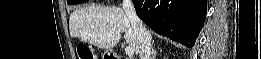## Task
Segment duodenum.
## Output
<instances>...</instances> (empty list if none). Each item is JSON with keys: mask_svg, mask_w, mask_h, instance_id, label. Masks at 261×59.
<instances>
[{"mask_svg": "<svg viewBox=\"0 0 261 59\" xmlns=\"http://www.w3.org/2000/svg\"><path fill=\"white\" fill-rule=\"evenodd\" d=\"M110 59H127V57H123L114 53H110Z\"/></svg>", "mask_w": 261, "mask_h": 59, "instance_id": "410a0bca", "label": "duodenum"}]
</instances>
